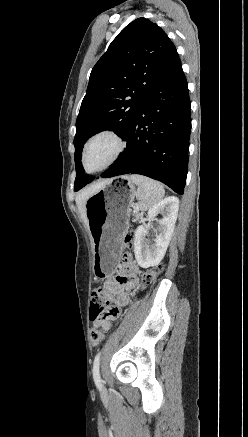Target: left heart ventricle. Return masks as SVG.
I'll list each match as a JSON object with an SVG mask.
<instances>
[{"label":"left heart ventricle","instance_id":"obj_1","mask_svg":"<svg viewBox=\"0 0 248 437\" xmlns=\"http://www.w3.org/2000/svg\"><path fill=\"white\" fill-rule=\"evenodd\" d=\"M116 148L115 142L109 137L96 139L89 146L86 154V165L89 170H94L103 165Z\"/></svg>","mask_w":248,"mask_h":437}]
</instances>
